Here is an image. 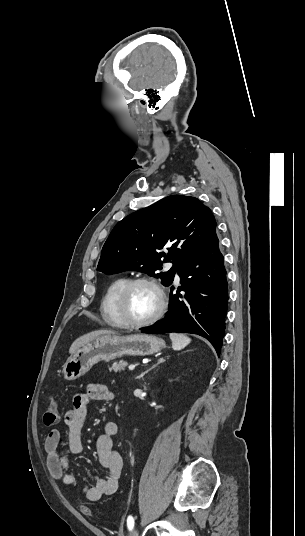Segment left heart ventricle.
<instances>
[{"instance_id": "1", "label": "left heart ventricle", "mask_w": 305, "mask_h": 536, "mask_svg": "<svg viewBox=\"0 0 305 536\" xmlns=\"http://www.w3.org/2000/svg\"><path fill=\"white\" fill-rule=\"evenodd\" d=\"M159 307L157 291L148 284H139L129 293L125 311L127 319L139 321L153 314Z\"/></svg>"}]
</instances>
